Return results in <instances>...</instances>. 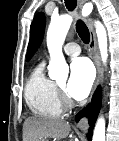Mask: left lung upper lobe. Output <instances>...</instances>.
Masks as SVG:
<instances>
[{"label": "left lung upper lobe", "mask_w": 119, "mask_h": 141, "mask_svg": "<svg viewBox=\"0 0 119 141\" xmlns=\"http://www.w3.org/2000/svg\"><path fill=\"white\" fill-rule=\"evenodd\" d=\"M45 29V17L43 13H39L33 20L30 27V42L28 45L27 58L29 59L37 50L42 42Z\"/></svg>", "instance_id": "1"}]
</instances>
